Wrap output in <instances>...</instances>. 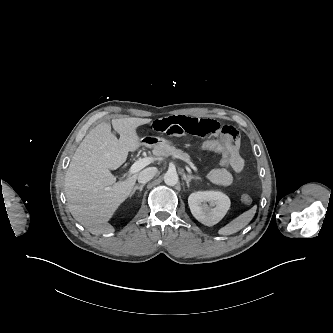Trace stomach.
<instances>
[{
  "instance_id": "obj_1",
  "label": "stomach",
  "mask_w": 333,
  "mask_h": 333,
  "mask_svg": "<svg viewBox=\"0 0 333 333\" xmlns=\"http://www.w3.org/2000/svg\"><path fill=\"white\" fill-rule=\"evenodd\" d=\"M145 139V138H144ZM144 143L148 146H158L161 144H167L168 140L161 138V137H147Z\"/></svg>"
}]
</instances>
